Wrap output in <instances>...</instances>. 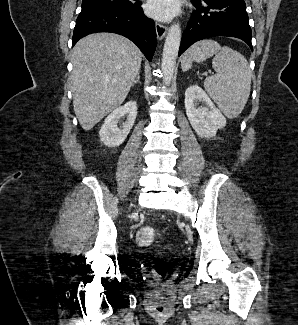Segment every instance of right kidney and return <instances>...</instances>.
Returning a JSON list of instances; mask_svg holds the SVG:
<instances>
[{
  "instance_id": "ca27d5eb",
  "label": "right kidney",
  "mask_w": 298,
  "mask_h": 325,
  "mask_svg": "<svg viewBox=\"0 0 298 325\" xmlns=\"http://www.w3.org/2000/svg\"><path fill=\"white\" fill-rule=\"evenodd\" d=\"M137 102L136 100H128L123 106L115 108L111 114H108L99 130L100 140L106 144V146H118L124 142L130 128L134 124V120L137 114ZM121 116H126L125 122H122V126H118V122Z\"/></svg>"
}]
</instances>
